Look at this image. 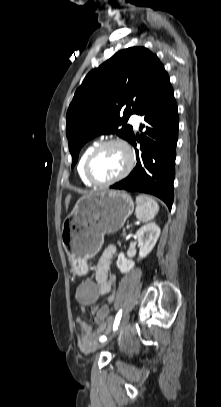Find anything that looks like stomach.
<instances>
[{"label": "stomach", "mask_w": 221, "mask_h": 407, "mask_svg": "<svg viewBox=\"0 0 221 407\" xmlns=\"http://www.w3.org/2000/svg\"><path fill=\"white\" fill-rule=\"evenodd\" d=\"M134 210V202L125 191L107 190L81 197L62 225L61 239L68 259L77 274L86 270V262L95 256L104 235L117 232Z\"/></svg>", "instance_id": "stomach-1"}]
</instances>
